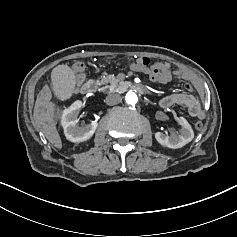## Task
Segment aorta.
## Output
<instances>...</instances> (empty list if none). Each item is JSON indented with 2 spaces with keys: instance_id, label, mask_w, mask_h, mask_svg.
Wrapping results in <instances>:
<instances>
[{
  "instance_id": "aorta-1",
  "label": "aorta",
  "mask_w": 237,
  "mask_h": 237,
  "mask_svg": "<svg viewBox=\"0 0 237 237\" xmlns=\"http://www.w3.org/2000/svg\"><path fill=\"white\" fill-rule=\"evenodd\" d=\"M125 100L127 104L135 105L138 101V97L134 92L129 91L125 96Z\"/></svg>"
}]
</instances>
